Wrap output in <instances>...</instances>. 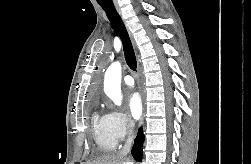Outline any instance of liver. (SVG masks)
I'll use <instances>...</instances> for the list:
<instances>
[{
    "instance_id": "1",
    "label": "liver",
    "mask_w": 251,
    "mask_h": 164,
    "mask_svg": "<svg viewBox=\"0 0 251 164\" xmlns=\"http://www.w3.org/2000/svg\"><path fill=\"white\" fill-rule=\"evenodd\" d=\"M85 164H133L128 161L124 156L117 154H106L98 157L93 162Z\"/></svg>"
}]
</instances>
